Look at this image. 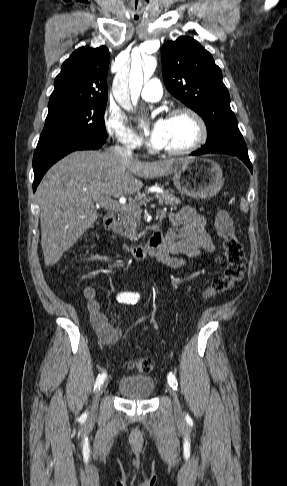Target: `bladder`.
Instances as JSON below:
<instances>
[{"instance_id": "obj_1", "label": "bladder", "mask_w": 287, "mask_h": 486, "mask_svg": "<svg viewBox=\"0 0 287 486\" xmlns=\"http://www.w3.org/2000/svg\"><path fill=\"white\" fill-rule=\"evenodd\" d=\"M118 391L131 399H148L155 391V382L148 375H126L118 382Z\"/></svg>"}]
</instances>
